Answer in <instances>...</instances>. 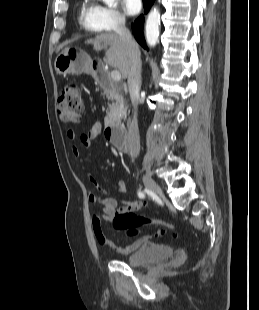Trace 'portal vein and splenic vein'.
I'll list each match as a JSON object with an SVG mask.
<instances>
[{"label": "portal vein and splenic vein", "mask_w": 259, "mask_h": 310, "mask_svg": "<svg viewBox=\"0 0 259 310\" xmlns=\"http://www.w3.org/2000/svg\"><path fill=\"white\" fill-rule=\"evenodd\" d=\"M111 78L114 80V81H120L121 80V74L119 71L117 70H113L111 72Z\"/></svg>", "instance_id": "18ae733b"}]
</instances>
